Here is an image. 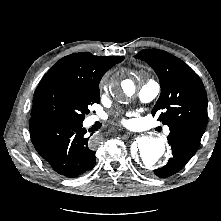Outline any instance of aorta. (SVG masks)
Returning a JSON list of instances; mask_svg holds the SVG:
<instances>
[{"label": "aorta", "mask_w": 221, "mask_h": 221, "mask_svg": "<svg viewBox=\"0 0 221 221\" xmlns=\"http://www.w3.org/2000/svg\"><path fill=\"white\" fill-rule=\"evenodd\" d=\"M121 88L127 96L135 92L134 83L131 80L121 82ZM166 153V144L161 138L152 136L141 137L137 140V151L134 152V159L146 169L154 167L161 161Z\"/></svg>", "instance_id": "obj_1"}]
</instances>
